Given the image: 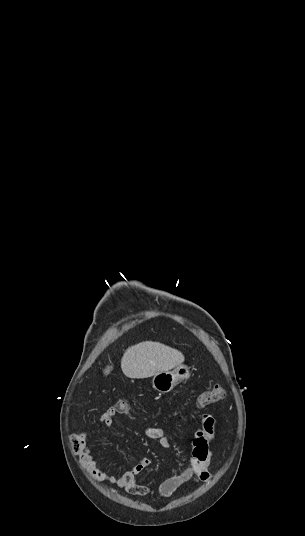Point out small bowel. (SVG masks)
Masks as SVG:
<instances>
[{
	"label": "small bowel",
	"instance_id": "obj_1",
	"mask_svg": "<svg viewBox=\"0 0 305 536\" xmlns=\"http://www.w3.org/2000/svg\"><path fill=\"white\" fill-rule=\"evenodd\" d=\"M114 415L115 410L113 408H108L102 413V420L105 422V426H110ZM145 434L147 438L157 440L163 448L168 449L171 447V441L162 427H149L146 429ZM216 434L217 429L214 418L210 414H203L197 429L191 435L192 452L188 465L160 485L159 493L161 496L165 498L171 497L178 488L191 479L197 483L206 482L210 479L208 468L213 455L211 444L216 438ZM81 437H85V434H81ZM79 445L82 464L92 478L122 488L133 496H146L150 493V488L139 479V475L151 464V460L148 457L137 459L133 467L123 473L109 474L99 468L98 460L88 445V439H79Z\"/></svg>",
	"mask_w": 305,
	"mask_h": 536
}]
</instances>
